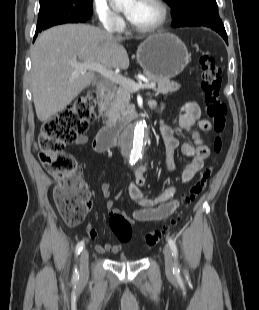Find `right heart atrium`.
Listing matches in <instances>:
<instances>
[{
    "instance_id": "1",
    "label": "right heart atrium",
    "mask_w": 259,
    "mask_h": 310,
    "mask_svg": "<svg viewBox=\"0 0 259 310\" xmlns=\"http://www.w3.org/2000/svg\"><path fill=\"white\" fill-rule=\"evenodd\" d=\"M94 11L105 28L110 30L123 28L122 17L110 8L106 0H94Z\"/></svg>"
}]
</instances>
